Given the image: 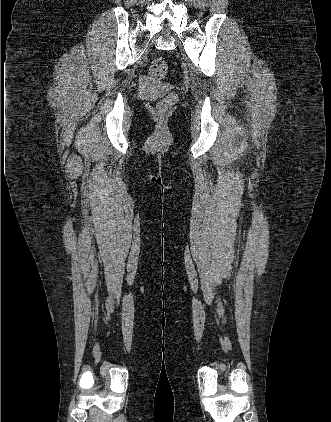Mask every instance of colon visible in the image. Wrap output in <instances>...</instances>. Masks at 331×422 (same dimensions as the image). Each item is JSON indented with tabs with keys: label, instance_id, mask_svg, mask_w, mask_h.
Listing matches in <instances>:
<instances>
[{
	"label": "colon",
	"instance_id": "colon-1",
	"mask_svg": "<svg viewBox=\"0 0 331 422\" xmlns=\"http://www.w3.org/2000/svg\"><path fill=\"white\" fill-rule=\"evenodd\" d=\"M149 75L154 78H161L167 73V64L162 59L152 61L149 66ZM176 97L174 94H169L164 99L159 101L156 105L155 111L157 114L162 115L166 113L171 106L175 103Z\"/></svg>",
	"mask_w": 331,
	"mask_h": 422
}]
</instances>
